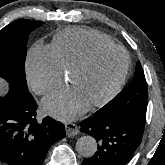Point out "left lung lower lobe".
Wrapping results in <instances>:
<instances>
[{
	"instance_id": "left-lung-lower-lobe-1",
	"label": "left lung lower lobe",
	"mask_w": 165,
	"mask_h": 165,
	"mask_svg": "<svg viewBox=\"0 0 165 165\" xmlns=\"http://www.w3.org/2000/svg\"><path fill=\"white\" fill-rule=\"evenodd\" d=\"M80 126V131L98 142L96 153L82 165H126L141 143L145 120L93 115Z\"/></svg>"
}]
</instances>
